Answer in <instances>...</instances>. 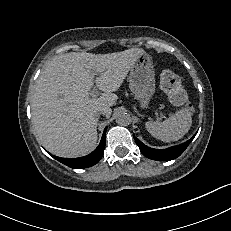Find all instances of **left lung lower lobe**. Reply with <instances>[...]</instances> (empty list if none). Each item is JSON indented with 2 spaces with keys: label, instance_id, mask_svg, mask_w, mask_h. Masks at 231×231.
Instances as JSON below:
<instances>
[{
  "label": "left lung lower lobe",
  "instance_id": "obj_1",
  "mask_svg": "<svg viewBox=\"0 0 231 231\" xmlns=\"http://www.w3.org/2000/svg\"><path fill=\"white\" fill-rule=\"evenodd\" d=\"M195 135L183 144L173 146L167 149H153L144 145L138 138L134 137L140 151L148 158L159 161H168L180 156L188 147Z\"/></svg>",
  "mask_w": 231,
  "mask_h": 231
}]
</instances>
